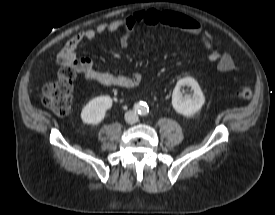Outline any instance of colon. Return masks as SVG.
<instances>
[{
	"label": "colon",
	"mask_w": 275,
	"mask_h": 215,
	"mask_svg": "<svg viewBox=\"0 0 275 215\" xmlns=\"http://www.w3.org/2000/svg\"><path fill=\"white\" fill-rule=\"evenodd\" d=\"M74 79L73 70L63 63L59 69L57 80L45 84L42 88L43 104L58 116H66L71 110ZM236 95L240 99L247 100L252 97V90L247 86H242L237 89Z\"/></svg>",
	"instance_id": "1"
}]
</instances>
